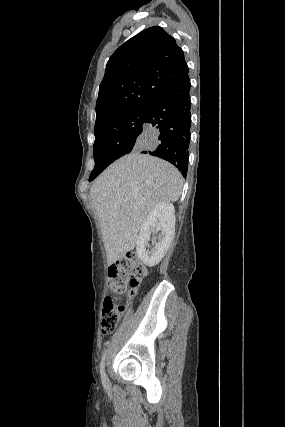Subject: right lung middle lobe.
<instances>
[{"label":"right lung middle lobe","instance_id":"obj_1","mask_svg":"<svg viewBox=\"0 0 285 427\" xmlns=\"http://www.w3.org/2000/svg\"><path fill=\"white\" fill-rule=\"evenodd\" d=\"M147 107L141 106L117 114L94 127V170L89 181L116 159L128 154L141 143Z\"/></svg>","mask_w":285,"mask_h":427}]
</instances>
